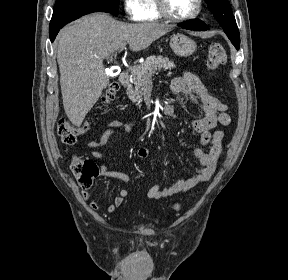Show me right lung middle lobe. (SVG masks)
Returning <instances> with one entry per match:
<instances>
[{"mask_svg": "<svg viewBox=\"0 0 288 280\" xmlns=\"http://www.w3.org/2000/svg\"><path fill=\"white\" fill-rule=\"evenodd\" d=\"M82 4L102 6L115 16L118 15L119 0H56L53 14L58 13L66 8Z\"/></svg>", "mask_w": 288, "mask_h": 280, "instance_id": "dd1d6c3e", "label": "right lung middle lobe"}]
</instances>
